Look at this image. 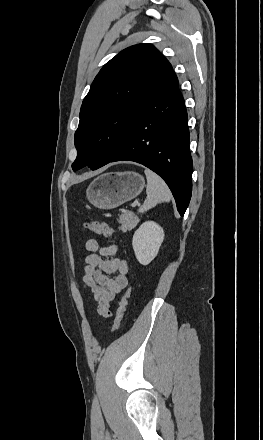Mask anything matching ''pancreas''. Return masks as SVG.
Here are the masks:
<instances>
[{"label":"pancreas","mask_w":263,"mask_h":440,"mask_svg":"<svg viewBox=\"0 0 263 440\" xmlns=\"http://www.w3.org/2000/svg\"><path fill=\"white\" fill-rule=\"evenodd\" d=\"M119 223L121 226L119 229L123 232L132 230L138 223V218L130 211H127L120 215Z\"/></svg>","instance_id":"obj_1"}]
</instances>
